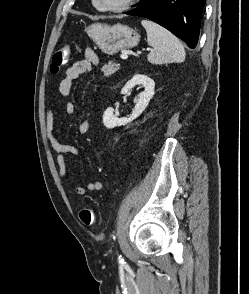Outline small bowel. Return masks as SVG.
Masks as SVG:
<instances>
[{
    "label": "small bowel",
    "mask_w": 249,
    "mask_h": 294,
    "mask_svg": "<svg viewBox=\"0 0 249 294\" xmlns=\"http://www.w3.org/2000/svg\"><path fill=\"white\" fill-rule=\"evenodd\" d=\"M98 55L90 48L84 52V59L76 61L66 70L65 77L61 80L58 86V93L62 97H68L71 92L72 83L80 75L88 73L92 67L99 64ZM67 114L72 115L75 113V105L73 102H67L65 105ZM91 124L88 120H83L78 125L80 134L89 132ZM46 135L50 147L55 154L56 163L58 167V176L62 185L69 180L68 170L66 165V156H75L78 154L77 147L62 143L55 133V115L52 105L49 106L46 113ZM104 187L100 181L88 182L86 186L75 185L67 189V192L72 196H83L86 191L96 192L102 190Z\"/></svg>",
    "instance_id": "1"
}]
</instances>
